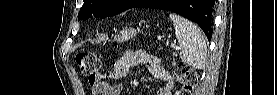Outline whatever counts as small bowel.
<instances>
[{
	"instance_id": "c3829d8e",
	"label": "small bowel",
	"mask_w": 277,
	"mask_h": 95,
	"mask_svg": "<svg viewBox=\"0 0 277 95\" xmlns=\"http://www.w3.org/2000/svg\"><path fill=\"white\" fill-rule=\"evenodd\" d=\"M138 64L148 66L152 75L165 82L160 87L158 95H171V90L174 88L173 74L165 69L159 59L149 55L145 51L127 50L125 54L117 61L112 70L96 76L93 80H89L93 95H120L121 86L110 84L109 80H118L126 76L129 70Z\"/></svg>"
}]
</instances>
